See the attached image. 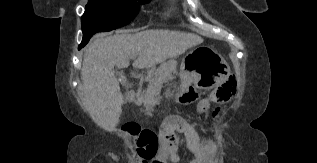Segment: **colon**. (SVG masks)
I'll use <instances>...</instances> for the list:
<instances>
[{"instance_id": "colon-1", "label": "colon", "mask_w": 317, "mask_h": 163, "mask_svg": "<svg viewBox=\"0 0 317 163\" xmlns=\"http://www.w3.org/2000/svg\"><path fill=\"white\" fill-rule=\"evenodd\" d=\"M236 90V80L234 77H231L215 88L208 97L200 100L197 106L198 110L207 112L213 103H224L229 101L231 97L235 95ZM190 100V95H185L180 99V102L189 103ZM125 130L135 138L138 154L143 159V162L149 163L150 161H153L156 158L159 149V135L153 130L141 128L136 124L126 126Z\"/></svg>"}]
</instances>
